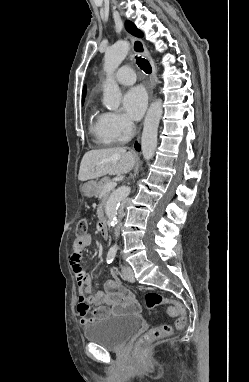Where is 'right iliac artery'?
<instances>
[{
	"label": "right iliac artery",
	"instance_id": "right-iliac-artery-1",
	"mask_svg": "<svg viewBox=\"0 0 249 382\" xmlns=\"http://www.w3.org/2000/svg\"><path fill=\"white\" fill-rule=\"evenodd\" d=\"M115 255H116V251L115 250H110L107 254V263H111L114 258H115Z\"/></svg>",
	"mask_w": 249,
	"mask_h": 382
}]
</instances>
